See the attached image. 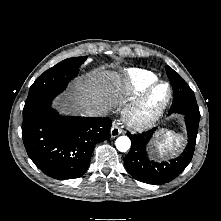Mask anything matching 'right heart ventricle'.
Instances as JSON below:
<instances>
[{
    "label": "right heart ventricle",
    "instance_id": "e07e8e85",
    "mask_svg": "<svg viewBox=\"0 0 221 221\" xmlns=\"http://www.w3.org/2000/svg\"><path fill=\"white\" fill-rule=\"evenodd\" d=\"M156 80L153 72L144 69H128L124 76L125 87L133 94L145 92Z\"/></svg>",
    "mask_w": 221,
    "mask_h": 221
}]
</instances>
